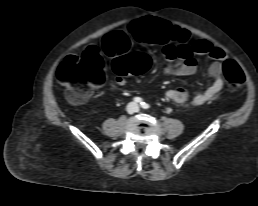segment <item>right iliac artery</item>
Segmentation results:
<instances>
[{
    "mask_svg": "<svg viewBox=\"0 0 258 206\" xmlns=\"http://www.w3.org/2000/svg\"><path fill=\"white\" fill-rule=\"evenodd\" d=\"M133 100L137 103H142V99L140 97H135Z\"/></svg>",
    "mask_w": 258,
    "mask_h": 206,
    "instance_id": "1",
    "label": "right iliac artery"
}]
</instances>
